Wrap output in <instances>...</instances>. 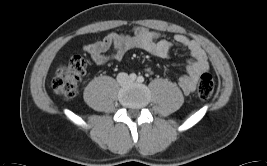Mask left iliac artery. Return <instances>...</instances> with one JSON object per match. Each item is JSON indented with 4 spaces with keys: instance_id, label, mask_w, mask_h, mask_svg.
<instances>
[{
    "instance_id": "44dca946",
    "label": "left iliac artery",
    "mask_w": 267,
    "mask_h": 166,
    "mask_svg": "<svg viewBox=\"0 0 267 166\" xmlns=\"http://www.w3.org/2000/svg\"><path fill=\"white\" fill-rule=\"evenodd\" d=\"M137 81H138L139 83H142V82L144 81V77H143V76H139V77L137 78Z\"/></svg>"
}]
</instances>
